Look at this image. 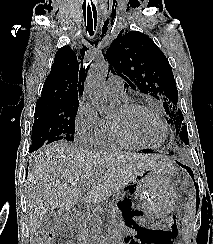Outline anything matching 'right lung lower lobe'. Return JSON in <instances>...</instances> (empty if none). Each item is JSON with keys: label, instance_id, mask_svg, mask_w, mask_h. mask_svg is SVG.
I'll use <instances>...</instances> for the list:
<instances>
[{"label": "right lung lower lobe", "instance_id": "1", "mask_svg": "<svg viewBox=\"0 0 213 244\" xmlns=\"http://www.w3.org/2000/svg\"><path fill=\"white\" fill-rule=\"evenodd\" d=\"M60 139H62V137H56V138H53V139H51V140H49V141H47L45 144H48V143H51V142H53V141H57V140H60ZM44 144V145H45ZM39 149V148H38ZM37 150V149H36ZM31 152H33V151H35V149L33 150H30Z\"/></svg>", "mask_w": 213, "mask_h": 244}]
</instances>
